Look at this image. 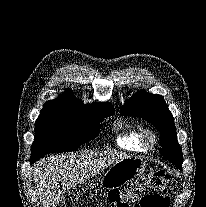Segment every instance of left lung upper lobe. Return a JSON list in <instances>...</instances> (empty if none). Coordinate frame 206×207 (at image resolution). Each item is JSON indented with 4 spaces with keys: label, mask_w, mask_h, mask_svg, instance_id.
<instances>
[{
    "label": "left lung upper lobe",
    "mask_w": 206,
    "mask_h": 207,
    "mask_svg": "<svg viewBox=\"0 0 206 207\" xmlns=\"http://www.w3.org/2000/svg\"><path fill=\"white\" fill-rule=\"evenodd\" d=\"M120 114L141 117L159 129L162 146L160 153L178 168L182 166V150L177 142L173 115L161 95L137 92L122 106Z\"/></svg>",
    "instance_id": "obj_1"
}]
</instances>
